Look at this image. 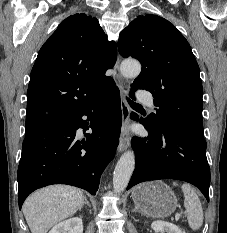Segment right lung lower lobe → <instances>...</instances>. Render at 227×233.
Here are the masks:
<instances>
[{"label":"right lung lower lobe","instance_id":"right-lung-lower-lobe-1","mask_svg":"<svg viewBox=\"0 0 227 233\" xmlns=\"http://www.w3.org/2000/svg\"><path fill=\"white\" fill-rule=\"evenodd\" d=\"M121 117L114 82L109 92L82 111L25 135L18 167L19 208L31 192L52 184L80 187L95 195L102 171L115 155ZM78 128L83 132L91 128L92 133L81 138Z\"/></svg>","mask_w":227,"mask_h":233}]
</instances>
